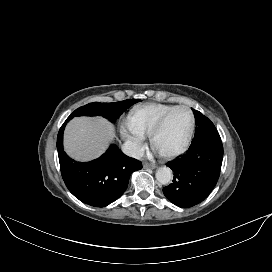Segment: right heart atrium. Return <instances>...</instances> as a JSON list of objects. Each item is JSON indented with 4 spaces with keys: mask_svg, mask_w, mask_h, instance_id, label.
I'll return each mask as SVG.
<instances>
[{
    "mask_svg": "<svg viewBox=\"0 0 272 272\" xmlns=\"http://www.w3.org/2000/svg\"><path fill=\"white\" fill-rule=\"evenodd\" d=\"M121 135L129 152L135 157L139 156L144 147V137L133 132L127 126L121 127Z\"/></svg>",
    "mask_w": 272,
    "mask_h": 272,
    "instance_id": "obj_1",
    "label": "right heart atrium"
}]
</instances>
